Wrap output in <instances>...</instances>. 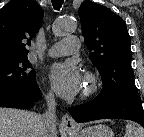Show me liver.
I'll return each instance as SVG.
<instances>
[{"mask_svg":"<svg viewBox=\"0 0 144 137\" xmlns=\"http://www.w3.org/2000/svg\"><path fill=\"white\" fill-rule=\"evenodd\" d=\"M41 115L12 108H0V137H41ZM55 137L57 131L55 130Z\"/></svg>","mask_w":144,"mask_h":137,"instance_id":"1","label":"liver"}]
</instances>
